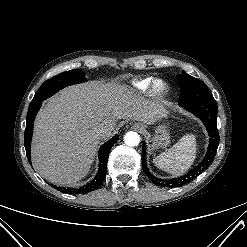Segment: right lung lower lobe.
<instances>
[{
	"label": "right lung lower lobe",
	"instance_id": "1",
	"mask_svg": "<svg viewBox=\"0 0 247 247\" xmlns=\"http://www.w3.org/2000/svg\"><path fill=\"white\" fill-rule=\"evenodd\" d=\"M41 104L42 103L30 105L27 114L26 129L24 134V145L29 163H31L30 149H31V139L33 134L34 119L38 110L41 107ZM118 138L119 136L115 135L109 141L103 144L99 149L98 152L99 170L96 177L90 183L80 188H58V189L65 193H71V194H83L97 189L104 181L107 171V161H108L109 153L115 142L118 140Z\"/></svg>",
	"mask_w": 247,
	"mask_h": 247
}]
</instances>
